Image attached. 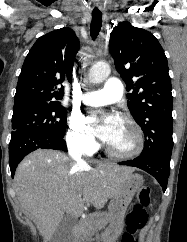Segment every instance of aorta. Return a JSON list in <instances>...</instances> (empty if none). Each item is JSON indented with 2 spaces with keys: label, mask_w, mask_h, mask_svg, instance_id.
<instances>
[{
  "label": "aorta",
  "mask_w": 187,
  "mask_h": 242,
  "mask_svg": "<svg viewBox=\"0 0 187 242\" xmlns=\"http://www.w3.org/2000/svg\"><path fill=\"white\" fill-rule=\"evenodd\" d=\"M111 69L107 63L98 62L89 70V80L93 84L103 82L110 74Z\"/></svg>",
  "instance_id": "762f6f07"
}]
</instances>
